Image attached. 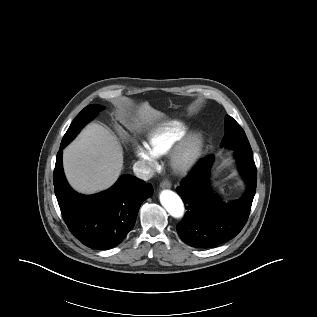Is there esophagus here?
<instances>
[{
	"mask_svg": "<svg viewBox=\"0 0 317 317\" xmlns=\"http://www.w3.org/2000/svg\"><path fill=\"white\" fill-rule=\"evenodd\" d=\"M160 187L161 188H171V183L169 180H163L161 183H160Z\"/></svg>",
	"mask_w": 317,
	"mask_h": 317,
	"instance_id": "obj_1",
	"label": "esophagus"
}]
</instances>
